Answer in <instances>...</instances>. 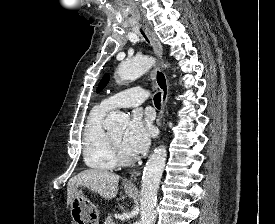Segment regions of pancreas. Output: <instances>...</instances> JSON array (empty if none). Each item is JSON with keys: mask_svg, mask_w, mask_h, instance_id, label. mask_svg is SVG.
<instances>
[{"mask_svg": "<svg viewBox=\"0 0 275 224\" xmlns=\"http://www.w3.org/2000/svg\"><path fill=\"white\" fill-rule=\"evenodd\" d=\"M104 224H116V222L113 220L111 214H109L108 217L105 219Z\"/></svg>", "mask_w": 275, "mask_h": 224, "instance_id": "pancreas-1", "label": "pancreas"}]
</instances>
